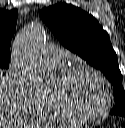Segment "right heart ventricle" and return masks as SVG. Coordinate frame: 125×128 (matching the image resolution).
<instances>
[{
    "label": "right heart ventricle",
    "mask_w": 125,
    "mask_h": 128,
    "mask_svg": "<svg viewBox=\"0 0 125 128\" xmlns=\"http://www.w3.org/2000/svg\"><path fill=\"white\" fill-rule=\"evenodd\" d=\"M63 69V68H62ZM62 69H56L62 71ZM36 118L53 123H71L56 107L51 94L42 93L41 97L33 111Z\"/></svg>",
    "instance_id": "1"
}]
</instances>
